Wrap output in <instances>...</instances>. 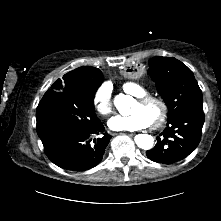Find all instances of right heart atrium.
<instances>
[{
  "label": "right heart atrium",
  "instance_id": "1",
  "mask_svg": "<svg viewBox=\"0 0 221 221\" xmlns=\"http://www.w3.org/2000/svg\"><path fill=\"white\" fill-rule=\"evenodd\" d=\"M93 104L97 112L103 117H108L113 112L112 88L109 84L100 85L93 96Z\"/></svg>",
  "mask_w": 221,
  "mask_h": 221
}]
</instances>
